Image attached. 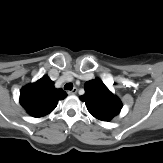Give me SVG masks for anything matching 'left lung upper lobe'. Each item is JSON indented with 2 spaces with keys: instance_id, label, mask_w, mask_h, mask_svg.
<instances>
[{
  "instance_id": "left-lung-upper-lobe-1",
  "label": "left lung upper lobe",
  "mask_w": 163,
  "mask_h": 163,
  "mask_svg": "<svg viewBox=\"0 0 163 163\" xmlns=\"http://www.w3.org/2000/svg\"><path fill=\"white\" fill-rule=\"evenodd\" d=\"M84 89L85 94L79 98L85 102L87 110L95 118L110 121L120 113L122 102L108 90L99 78L87 81Z\"/></svg>"
}]
</instances>
